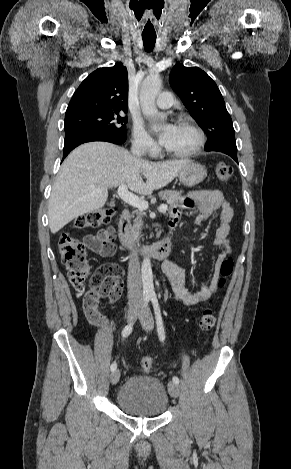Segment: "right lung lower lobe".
Instances as JSON below:
<instances>
[{
	"mask_svg": "<svg viewBox=\"0 0 291 469\" xmlns=\"http://www.w3.org/2000/svg\"><path fill=\"white\" fill-rule=\"evenodd\" d=\"M126 136V132L105 133L96 131H77L68 133L65 135L63 159L80 144L91 141H106L114 144H122L126 141Z\"/></svg>",
	"mask_w": 291,
	"mask_h": 469,
	"instance_id": "right-lung-lower-lobe-1",
	"label": "right lung lower lobe"
}]
</instances>
